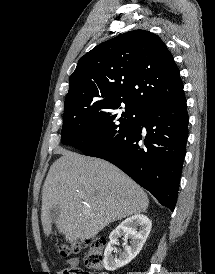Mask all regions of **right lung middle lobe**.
I'll return each instance as SVG.
<instances>
[{
    "instance_id": "1",
    "label": "right lung middle lobe",
    "mask_w": 215,
    "mask_h": 274,
    "mask_svg": "<svg viewBox=\"0 0 215 274\" xmlns=\"http://www.w3.org/2000/svg\"><path fill=\"white\" fill-rule=\"evenodd\" d=\"M140 110L121 101L65 102L61 142L86 152L129 129Z\"/></svg>"
}]
</instances>
